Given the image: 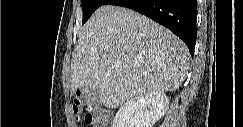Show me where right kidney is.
<instances>
[{
    "label": "right kidney",
    "instance_id": "right-kidney-1",
    "mask_svg": "<svg viewBox=\"0 0 243 127\" xmlns=\"http://www.w3.org/2000/svg\"><path fill=\"white\" fill-rule=\"evenodd\" d=\"M168 108V97L162 91L135 96L121 106L112 127H153Z\"/></svg>",
    "mask_w": 243,
    "mask_h": 127
}]
</instances>
